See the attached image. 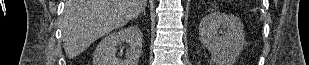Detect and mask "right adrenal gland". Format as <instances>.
Here are the masks:
<instances>
[{"instance_id":"obj_1","label":"right adrenal gland","mask_w":309,"mask_h":65,"mask_svg":"<svg viewBox=\"0 0 309 65\" xmlns=\"http://www.w3.org/2000/svg\"><path fill=\"white\" fill-rule=\"evenodd\" d=\"M142 13L146 15V8L143 9Z\"/></svg>"}]
</instances>
